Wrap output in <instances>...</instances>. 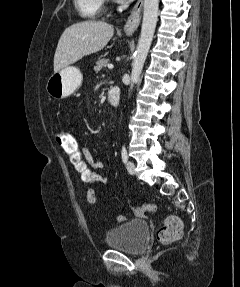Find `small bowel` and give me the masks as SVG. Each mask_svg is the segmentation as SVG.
Returning <instances> with one entry per match:
<instances>
[{
    "instance_id": "small-bowel-1",
    "label": "small bowel",
    "mask_w": 240,
    "mask_h": 287,
    "mask_svg": "<svg viewBox=\"0 0 240 287\" xmlns=\"http://www.w3.org/2000/svg\"><path fill=\"white\" fill-rule=\"evenodd\" d=\"M82 152L89 162V164L93 167L94 170L101 169L103 168L104 164L98 160L87 148H82ZM96 179L98 183L106 184L107 183V178L99 175L96 173Z\"/></svg>"
}]
</instances>
